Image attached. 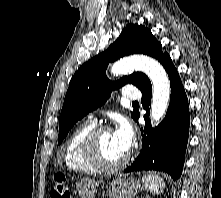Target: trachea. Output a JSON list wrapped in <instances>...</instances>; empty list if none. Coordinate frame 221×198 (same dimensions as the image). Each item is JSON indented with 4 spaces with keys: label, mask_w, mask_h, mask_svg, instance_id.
Returning a JSON list of instances; mask_svg holds the SVG:
<instances>
[{
    "label": "trachea",
    "mask_w": 221,
    "mask_h": 198,
    "mask_svg": "<svg viewBox=\"0 0 221 198\" xmlns=\"http://www.w3.org/2000/svg\"><path fill=\"white\" fill-rule=\"evenodd\" d=\"M133 104H138V102H137V101H135V102H133Z\"/></svg>",
    "instance_id": "3493384b"
}]
</instances>
